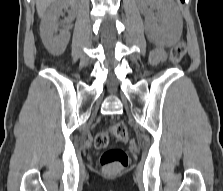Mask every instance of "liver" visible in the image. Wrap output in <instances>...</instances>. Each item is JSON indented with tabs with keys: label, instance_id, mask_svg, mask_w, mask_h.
I'll return each instance as SVG.
<instances>
[{
	"label": "liver",
	"instance_id": "obj_1",
	"mask_svg": "<svg viewBox=\"0 0 223 191\" xmlns=\"http://www.w3.org/2000/svg\"><path fill=\"white\" fill-rule=\"evenodd\" d=\"M54 0H36V9L40 18L44 17L45 11Z\"/></svg>",
	"mask_w": 223,
	"mask_h": 191
}]
</instances>
